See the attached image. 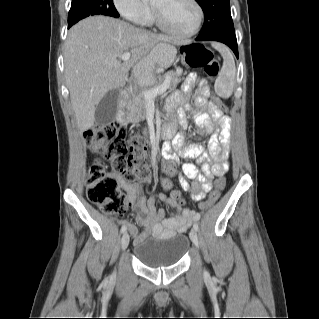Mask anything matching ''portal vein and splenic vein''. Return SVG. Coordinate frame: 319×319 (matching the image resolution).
Here are the masks:
<instances>
[{
  "label": "portal vein and splenic vein",
  "mask_w": 319,
  "mask_h": 319,
  "mask_svg": "<svg viewBox=\"0 0 319 319\" xmlns=\"http://www.w3.org/2000/svg\"><path fill=\"white\" fill-rule=\"evenodd\" d=\"M131 54L129 52H124L121 54V59L123 61H128L130 59ZM170 84L169 76L167 75L164 83L154 89H149L144 91V97L145 99H152L155 98L157 95L164 93Z\"/></svg>",
  "instance_id": "18ae733b"
}]
</instances>
